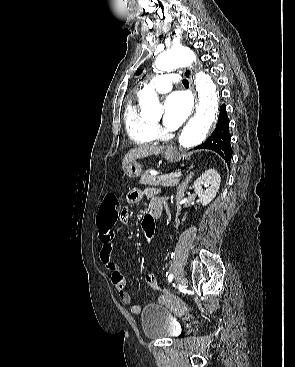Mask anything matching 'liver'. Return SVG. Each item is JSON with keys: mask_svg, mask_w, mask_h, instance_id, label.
I'll list each match as a JSON object with an SVG mask.
<instances>
[{"mask_svg": "<svg viewBox=\"0 0 295 367\" xmlns=\"http://www.w3.org/2000/svg\"><path fill=\"white\" fill-rule=\"evenodd\" d=\"M163 146H154V145H141L136 148H133L127 152L122 161V168L134 162L136 159H141L145 157H149L152 155H158L163 151Z\"/></svg>", "mask_w": 295, "mask_h": 367, "instance_id": "obj_1", "label": "liver"}]
</instances>
